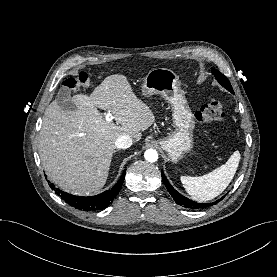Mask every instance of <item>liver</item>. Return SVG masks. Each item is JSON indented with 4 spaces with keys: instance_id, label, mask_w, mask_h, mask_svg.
Segmentation results:
<instances>
[{
    "instance_id": "6515ba94",
    "label": "liver",
    "mask_w": 277,
    "mask_h": 277,
    "mask_svg": "<svg viewBox=\"0 0 277 277\" xmlns=\"http://www.w3.org/2000/svg\"><path fill=\"white\" fill-rule=\"evenodd\" d=\"M71 98V97H70ZM76 109L65 111L54 100L46 108L39 133V154L48 178L74 195L98 192L106 183L116 139L138 142L155 116L133 92L123 75L106 77L91 95L71 98ZM110 112L118 123L98 110Z\"/></svg>"
}]
</instances>
